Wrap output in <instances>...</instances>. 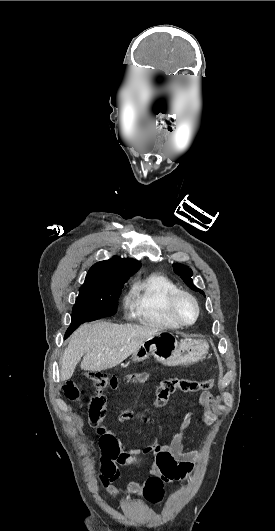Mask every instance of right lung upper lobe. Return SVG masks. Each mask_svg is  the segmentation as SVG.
I'll return each mask as SVG.
<instances>
[{"mask_svg":"<svg viewBox=\"0 0 275 531\" xmlns=\"http://www.w3.org/2000/svg\"><path fill=\"white\" fill-rule=\"evenodd\" d=\"M140 267V262L114 256L94 264L87 273L85 282L128 279Z\"/></svg>","mask_w":275,"mask_h":531,"instance_id":"cb5924a9","label":"right lung upper lobe"}]
</instances>
